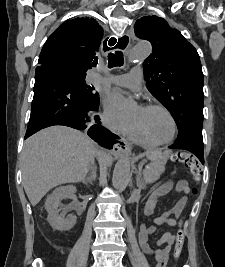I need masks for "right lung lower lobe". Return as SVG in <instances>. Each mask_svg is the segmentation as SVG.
<instances>
[{"instance_id": "98d812e1", "label": "right lung lower lobe", "mask_w": 225, "mask_h": 267, "mask_svg": "<svg viewBox=\"0 0 225 267\" xmlns=\"http://www.w3.org/2000/svg\"><path fill=\"white\" fill-rule=\"evenodd\" d=\"M92 111H95L94 107L81 94L69 72L54 65H39L35 72L34 97L25 139L53 125L86 129L93 121L99 123ZM88 135L108 149L118 138L100 125L91 126Z\"/></svg>"}]
</instances>
